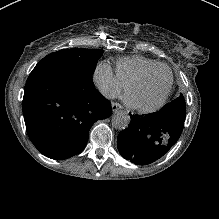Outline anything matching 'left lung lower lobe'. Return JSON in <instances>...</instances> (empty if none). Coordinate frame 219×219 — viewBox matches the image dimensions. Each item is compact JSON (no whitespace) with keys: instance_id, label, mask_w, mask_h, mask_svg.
<instances>
[{"instance_id":"1","label":"left lung lower lobe","mask_w":219,"mask_h":219,"mask_svg":"<svg viewBox=\"0 0 219 219\" xmlns=\"http://www.w3.org/2000/svg\"><path fill=\"white\" fill-rule=\"evenodd\" d=\"M183 127L184 121L171 115H131L129 128L118 135L117 147L125 159L139 165L150 164L169 151Z\"/></svg>"}]
</instances>
